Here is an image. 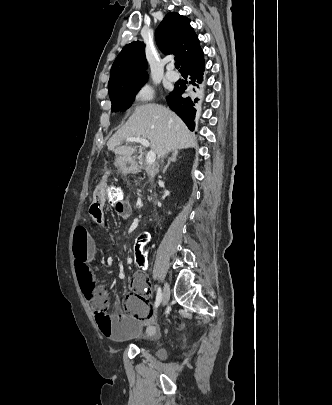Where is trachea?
<instances>
[{"label":"trachea","instance_id":"3493384b","mask_svg":"<svg viewBox=\"0 0 332 405\" xmlns=\"http://www.w3.org/2000/svg\"><path fill=\"white\" fill-rule=\"evenodd\" d=\"M175 67L178 69L180 67V64L176 62Z\"/></svg>","mask_w":332,"mask_h":405}]
</instances>
